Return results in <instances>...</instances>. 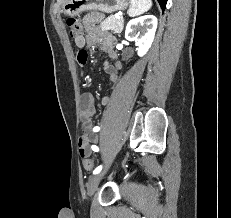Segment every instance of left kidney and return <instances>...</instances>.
I'll return each mask as SVG.
<instances>
[{"mask_svg":"<svg viewBox=\"0 0 231 218\" xmlns=\"http://www.w3.org/2000/svg\"><path fill=\"white\" fill-rule=\"evenodd\" d=\"M157 29V18L154 15H144L128 22L125 30V38L135 41L138 46V56H144L151 47ZM140 30V32H137Z\"/></svg>","mask_w":231,"mask_h":218,"instance_id":"5707ae66","label":"left kidney"}]
</instances>
